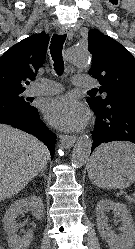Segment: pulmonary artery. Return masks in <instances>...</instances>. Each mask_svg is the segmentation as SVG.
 I'll list each match as a JSON object with an SVG mask.
<instances>
[{
    "instance_id": "1",
    "label": "pulmonary artery",
    "mask_w": 135,
    "mask_h": 249,
    "mask_svg": "<svg viewBox=\"0 0 135 249\" xmlns=\"http://www.w3.org/2000/svg\"><path fill=\"white\" fill-rule=\"evenodd\" d=\"M73 85L82 88H94L97 86V82L94 78L89 76L76 75L73 78ZM63 90L60 83L50 80H45L42 83H37L29 87L25 94L27 96H38V95H52L59 93Z\"/></svg>"
}]
</instances>
